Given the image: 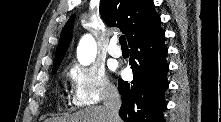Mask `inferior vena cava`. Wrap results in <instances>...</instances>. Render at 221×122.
Returning a JSON list of instances; mask_svg holds the SVG:
<instances>
[{
  "mask_svg": "<svg viewBox=\"0 0 221 122\" xmlns=\"http://www.w3.org/2000/svg\"><path fill=\"white\" fill-rule=\"evenodd\" d=\"M104 107L107 111L108 122H118L121 99L118 91L114 88H105Z\"/></svg>",
  "mask_w": 221,
  "mask_h": 122,
  "instance_id": "602c4592",
  "label": "inferior vena cava"
}]
</instances>
